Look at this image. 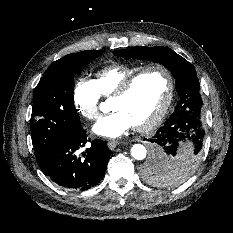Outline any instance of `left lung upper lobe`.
Wrapping results in <instances>:
<instances>
[{"mask_svg":"<svg viewBox=\"0 0 233 233\" xmlns=\"http://www.w3.org/2000/svg\"><path fill=\"white\" fill-rule=\"evenodd\" d=\"M114 55L124 58L149 60L161 63L167 67L176 80V90L180 100L168 120L199 119L202 112L200 84L194 67L183 57L166 47H134L126 50H116ZM199 158L192 156L177 160H166L159 166L157 174L144 176L157 182L159 178H173L175 183L186 180L195 170Z\"/></svg>","mask_w":233,"mask_h":233,"instance_id":"obj_1","label":"left lung upper lobe"}]
</instances>
